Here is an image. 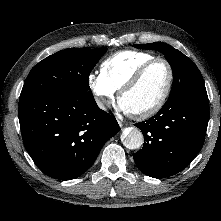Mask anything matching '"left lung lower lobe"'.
<instances>
[{"label": "left lung lower lobe", "mask_w": 221, "mask_h": 221, "mask_svg": "<svg viewBox=\"0 0 221 221\" xmlns=\"http://www.w3.org/2000/svg\"><path fill=\"white\" fill-rule=\"evenodd\" d=\"M208 120L207 93L169 98L155 116L135 124L145 141L134 154L137 167L154 178L182 171L201 150Z\"/></svg>", "instance_id": "obj_1"}]
</instances>
